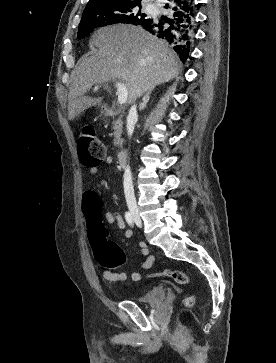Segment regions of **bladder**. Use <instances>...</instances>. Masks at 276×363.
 <instances>
[{"instance_id": "obj_1", "label": "bladder", "mask_w": 276, "mask_h": 363, "mask_svg": "<svg viewBox=\"0 0 276 363\" xmlns=\"http://www.w3.org/2000/svg\"><path fill=\"white\" fill-rule=\"evenodd\" d=\"M166 291L163 286H153L140 294L135 301L139 304L153 305L165 299Z\"/></svg>"}]
</instances>
